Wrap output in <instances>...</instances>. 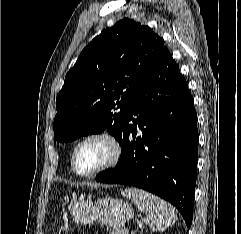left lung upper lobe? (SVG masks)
I'll return each instance as SVG.
<instances>
[{"mask_svg": "<svg viewBox=\"0 0 241 234\" xmlns=\"http://www.w3.org/2000/svg\"><path fill=\"white\" fill-rule=\"evenodd\" d=\"M166 49L148 26L124 18L81 52L56 98L54 140L60 143L107 130L120 145L129 106Z\"/></svg>", "mask_w": 241, "mask_h": 234, "instance_id": "5c2ea615", "label": "left lung upper lobe"}]
</instances>
